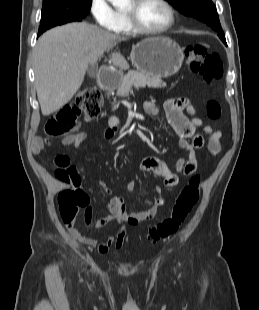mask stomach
<instances>
[{
    "instance_id": "1",
    "label": "stomach",
    "mask_w": 259,
    "mask_h": 310,
    "mask_svg": "<svg viewBox=\"0 0 259 310\" xmlns=\"http://www.w3.org/2000/svg\"><path fill=\"white\" fill-rule=\"evenodd\" d=\"M130 57L138 71L161 78L179 71L184 53L176 42L167 37H151L137 43Z\"/></svg>"
}]
</instances>
